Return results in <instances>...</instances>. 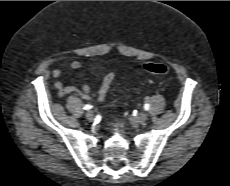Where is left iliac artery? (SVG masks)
Returning <instances> with one entry per match:
<instances>
[{
    "instance_id": "left-iliac-artery-1",
    "label": "left iliac artery",
    "mask_w": 230,
    "mask_h": 186,
    "mask_svg": "<svg viewBox=\"0 0 230 186\" xmlns=\"http://www.w3.org/2000/svg\"><path fill=\"white\" fill-rule=\"evenodd\" d=\"M149 108H150V105H149L148 103H146V104L144 105V109H145V110H149Z\"/></svg>"
}]
</instances>
